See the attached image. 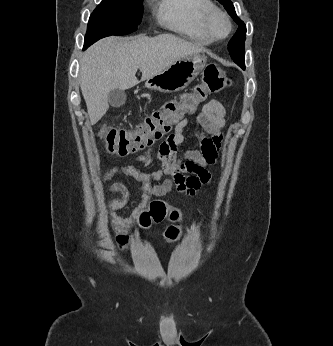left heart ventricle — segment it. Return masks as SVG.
Wrapping results in <instances>:
<instances>
[{
    "mask_svg": "<svg viewBox=\"0 0 333 346\" xmlns=\"http://www.w3.org/2000/svg\"><path fill=\"white\" fill-rule=\"evenodd\" d=\"M212 27H213L215 34L218 36L224 35L226 30H227V24H226L225 20L220 16H216L213 19Z\"/></svg>",
    "mask_w": 333,
    "mask_h": 346,
    "instance_id": "left-heart-ventricle-1",
    "label": "left heart ventricle"
}]
</instances>
